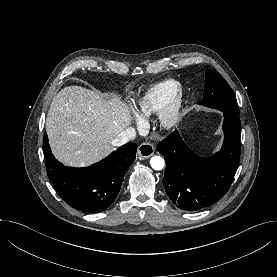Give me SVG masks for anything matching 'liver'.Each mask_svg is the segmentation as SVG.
<instances>
[{
    "mask_svg": "<svg viewBox=\"0 0 277 277\" xmlns=\"http://www.w3.org/2000/svg\"><path fill=\"white\" fill-rule=\"evenodd\" d=\"M129 108L80 87L68 86L53 98L46 118L49 144L64 165L84 167L115 149L114 140L130 126Z\"/></svg>",
    "mask_w": 277,
    "mask_h": 277,
    "instance_id": "1",
    "label": "liver"
}]
</instances>
